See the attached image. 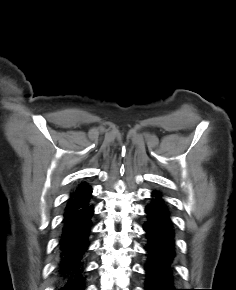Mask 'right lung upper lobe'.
<instances>
[{"mask_svg":"<svg viewBox=\"0 0 236 290\" xmlns=\"http://www.w3.org/2000/svg\"><path fill=\"white\" fill-rule=\"evenodd\" d=\"M91 188L86 184H80L78 188L70 196L66 211L75 209L85 204L91 197Z\"/></svg>","mask_w":236,"mask_h":290,"instance_id":"cb5924a9","label":"right lung upper lobe"}]
</instances>
